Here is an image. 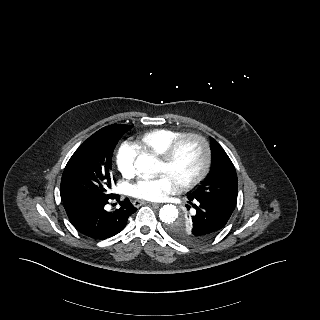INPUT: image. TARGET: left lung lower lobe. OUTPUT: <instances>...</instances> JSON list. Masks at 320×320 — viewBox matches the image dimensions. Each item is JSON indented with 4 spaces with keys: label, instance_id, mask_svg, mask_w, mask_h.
<instances>
[{
    "label": "left lung lower lobe",
    "instance_id": "1",
    "mask_svg": "<svg viewBox=\"0 0 320 320\" xmlns=\"http://www.w3.org/2000/svg\"><path fill=\"white\" fill-rule=\"evenodd\" d=\"M190 203L198 214V223L200 225L195 234L202 242L217 235L232 214L218 204L202 198L192 199Z\"/></svg>",
    "mask_w": 320,
    "mask_h": 320
}]
</instances>
